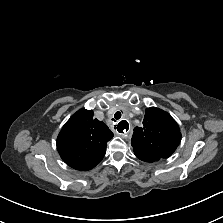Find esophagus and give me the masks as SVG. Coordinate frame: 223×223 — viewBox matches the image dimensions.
Returning <instances> with one entry per match:
<instances>
[{"mask_svg": "<svg viewBox=\"0 0 223 223\" xmlns=\"http://www.w3.org/2000/svg\"><path fill=\"white\" fill-rule=\"evenodd\" d=\"M117 132L122 137H128L130 132V127L127 121L123 120L117 125Z\"/></svg>", "mask_w": 223, "mask_h": 223, "instance_id": "34e87169", "label": "esophagus"}]
</instances>
